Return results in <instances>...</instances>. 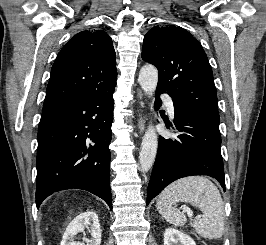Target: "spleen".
Listing matches in <instances>:
<instances>
[{"label":"spleen","mask_w":266,"mask_h":245,"mask_svg":"<svg viewBox=\"0 0 266 245\" xmlns=\"http://www.w3.org/2000/svg\"><path fill=\"white\" fill-rule=\"evenodd\" d=\"M190 203L202 211V219L194 221L196 233L203 239H220L224 235V203L215 185L206 177H185L166 187L158 197L157 211L174 227H184L187 217L172 207Z\"/></svg>","instance_id":"obj_1"}]
</instances>
